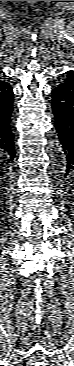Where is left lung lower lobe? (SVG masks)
<instances>
[{
  "mask_svg": "<svg viewBox=\"0 0 74 366\" xmlns=\"http://www.w3.org/2000/svg\"><path fill=\"white\" fill-rule=\"evenodd\" d=\"M51 96L56 131L67 160L66 177L74 171V71L65 73Z\"/></svg>",
  "mask_w": 74,
  "mask_h": 366,
  "instance_id": "1",
  "label": "left lung lower lobe"
}]
</instances>
